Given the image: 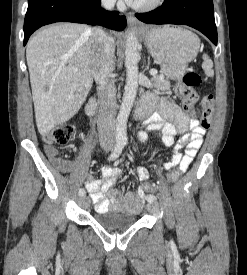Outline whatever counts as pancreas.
Instances as JSON below:
<instances>
[{
	"label": "pancreas",
	"mask_w": 247,
	"mask_h": 275,
	"mask_svg": "<svg viewBox=\"0 0 247 275\" xmlns=\"http://www.w3.org/2000/svg\"><path fill=\"white\" fill-rule=\"evenodd\" d=\"M151 80L153 86L158 92H166L170 90V82L168 79H164L162 76H154Z\"/></svg>",
	"instance_id": "1"
}]
</instances>
